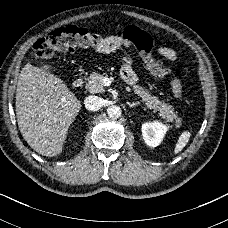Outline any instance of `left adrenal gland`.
<instances>
[{
  "mask_svg": "<svg viewBox=\"0 0 228 228\" xmlns=\"http://www.w3.org/2000/svg\"><path fill=\"white\" fill-rule=\"evenodd\" d=\"M128 105H129L132 109H134V108H136L137 106H139L140 103H130V102H128Z\"/></svg>",
  "mask_w": 228,
  "mask_h": 228,
  "instance_id": "left-adrenal-gland-1",
  "label": "left adrenal gland"
}]
</instances>
